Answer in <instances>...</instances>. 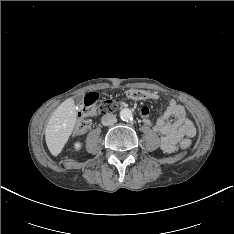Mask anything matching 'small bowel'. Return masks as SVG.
I'll return each mask as SVG.
<instances>
[{"label":"small bowel","instance_id":"small-bowel-1","mask_svg":"<svg viewBox=\"0 0 234 234\" xmlns=\"http://www.w3.org/2000/svg\"><path fill=\"white\" fill-rule=\"evenodd\" d=\"M140 115L145 125L151 126L156 133L162 135L161 147L167 153L173 152L184 136L194 137L196 134L195 126L188 119L185 108L172 98L165 109H161L155 122L152 123L149 119L148 107H142Z\"/></svg>","mask_w":234,"mask_h":234}]
</instances>
